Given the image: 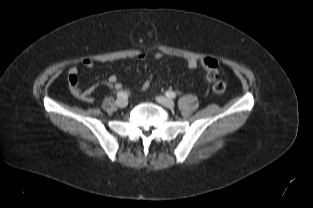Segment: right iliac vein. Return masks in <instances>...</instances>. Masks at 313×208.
<instances>
[{
	"instance_id": "1",
	"label": "right iliac vein",
	"mask_w": 313,
	"mask_h": 208,
	"mask_svg": "<svg viewBox=\"0 0 313 208\" xmlns=\"http://www.w3.org/2000/svg\"><path fill=\"white\" fill-rule=\"evenodd\" d=\"M116 105L120 108H125L128 105V101L126 98H118L116 100Z\"/></svg>"
}]
</instances>
